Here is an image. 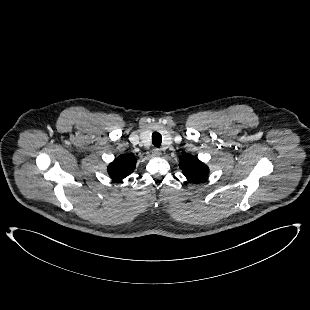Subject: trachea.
<instances>
[{
	"label": "trachea",
	"instance_id": "obj_1",
	"mask_svg": "<svg viewBox=\"0 0 310 310\" xmlns=\"http://www.w3.org/2000/svg\"><path fill=\"white\" fill-rule=\"evenodd\" d=\"M162 142V136L158 132L152 134V143L156 147H160Z\"/></svg>",
	"mask_w": 310,
	"mask_h": 310
}]
</instances>
